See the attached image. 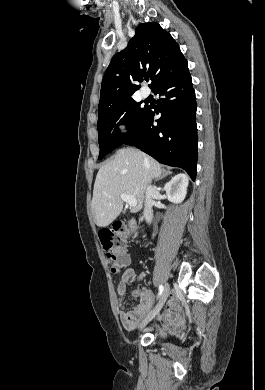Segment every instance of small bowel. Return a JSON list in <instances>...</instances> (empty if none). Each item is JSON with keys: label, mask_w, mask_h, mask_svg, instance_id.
<instances>
[{"label": "small bowel", "mask_w": 265, "mask_h": 390, "mask_svg": "<svg viewBox=\"0 0 265 390\" xmlns=\"http://www.w3.org/2000/svg\"><path fill=\"white\" fill-rule=\"evenodd\" d=\"M130 262V258L126 256L124 266H128ZM134 277V270L131 268L126 269L117 286V293L119 296L117 301L118 314L124 329L127 331H132L135 329L138 322L144 316L151 301L153 300V293L149 289L143 288L138 304L132 310L126 311L124 295L127 289V282ZM140 278H142V275ZM159 320L164 327L172 328L175 326L184 325L186 322V316L184 310L180 308L177 305L176 300L172 298L168 311L160 316Z\"/></svg>", "instance_id": "1"}]
</instances>
